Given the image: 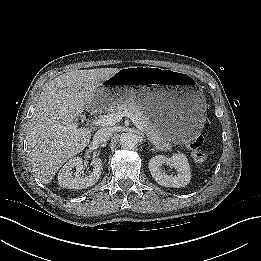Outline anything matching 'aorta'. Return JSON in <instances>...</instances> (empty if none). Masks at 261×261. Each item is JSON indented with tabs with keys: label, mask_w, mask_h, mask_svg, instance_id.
<instances>
[{
	"label": "aorta",
	"mask_w": 261,
	"mask_h": 261,
	"mask_svg": "<svg viewBox=\"0 0 261 261\" xmlns=\"http://www.w3.org/2000/svg\"><path fill=\"white\" fill-rule=\"evenodd\" d=\"M139 143V136L132 132L123 133L120 136V145L125 149H132Z\"/></svg>",
	"instance_id": "aorta-1"
}]
</instances>
